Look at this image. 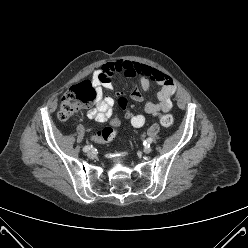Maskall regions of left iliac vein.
Instances as JSON below:
<instances>
[{
  "mask_svg": "<svg viewBox=\"0 0 248 248\" xmlns=\"http://www.w3.org/2000/svg\"><path fill=\"white\" fill-rule=\"evenodd\" d=\"M151 151H152V148H150V147H145V148L143 149V152H144L145 154H149Z\"/></svg>",
  "mask_w": 248,
  "mask_h": 248,
  "instance_id": "1",
  "label": "left iliac vein"
}]
</instances>
